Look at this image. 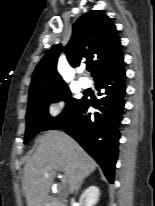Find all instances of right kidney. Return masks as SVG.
Masks as SVG:
<instances>
[{
	"mask_svg": "<svg viewBox=\"0 0 155 206\" xmlns=\"http://www.w3.org/2000/svg\"><path fill=\"white\" fill-rule=\"evenodd\" d=\"M100 191L96 186L88 187L80 196V206H94L99 199Z\"/></svg>",
	"mask_w": 155,
	"mask_h": 206,
	"instance_id": "ca27d5eb",
	"label": "right kidney"
}]
</instances>
